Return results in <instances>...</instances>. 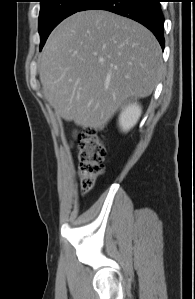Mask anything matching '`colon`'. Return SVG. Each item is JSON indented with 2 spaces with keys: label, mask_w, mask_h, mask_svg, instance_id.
<instances>
[{
  "label": "colon",
  "mask_w": 195,
  "mask_h": 299,
  "mask_svg": "<svg viewBox=\"0 0 195 299\" xmlns=\"http://www.w3.org/2000/svg\"><path fill=\"white\" fill-rule=\"evenodd\" d=\"M106 144L95 129L89 128L77 138V171L83 193L90 191L96 179L104 172Z\"/></svg>",
  "instance_id": "1"
}]
</instances>
